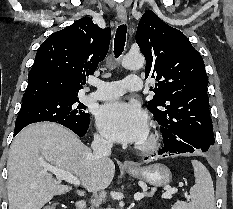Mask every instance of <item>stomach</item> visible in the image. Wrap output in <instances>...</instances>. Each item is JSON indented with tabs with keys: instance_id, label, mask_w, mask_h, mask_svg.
<instances>
[{
	"instance_id": "obj_1",
	"label": "stomach",
	"mask_w": 233,
	"mask_h": 209,
	"mask_svg": "<svg viewBox=\"0 0 233 209\" xmlns=\"http://www.w3.org/2000/svg\"><path fill=\"white\" fill-rule=\"evenodd\" d=\"M126 172L132 177L145 181L155 187L165 186L172 180L170 170L165 165L159 163L139 167L135 170L126 169Z\"/></svg>"
}]
</instances>
